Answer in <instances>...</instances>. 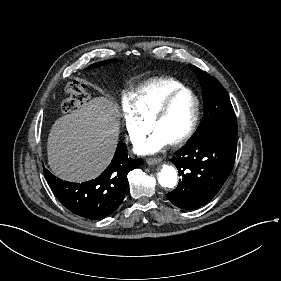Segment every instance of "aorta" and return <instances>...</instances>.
<instances>
[{
    "label": "aorta",
    "instance_id": "aorta-1",
    "mask_svg": "<svg viewBox=\"0 0 281 281\" xmlns=\"http://www.w3.org/2000/svg\"><path fill=\"white\" fill-rule=\"evenodd\" d=\"M159 184L162 187L173 188L177 183V172L173 166L164 165L158 175Z\"/></svg>",
    "mask_w": 281,
    "mask_h": 281
}]
</instances>
